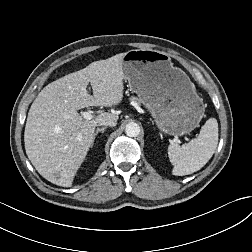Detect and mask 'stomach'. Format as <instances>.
<instances>
[{
	"label": "stomach",
	"instance_id": "stomach-1",
	"mask_svg": "<svg viewBox=\"0 0 252 252\" xmlns=\"http://www.w3.org/2000/svg\"><path fill=\"white\" fill-rule=\"evenodd\" d=\"M123 78L165 134L182 136L193 131L204 115L203 99L170 56L157 50L123 53Z\"/></svg>",
	"mask_w": 252,
	"mask_h": 252
}]
</instances>
